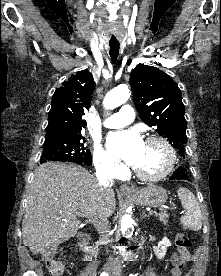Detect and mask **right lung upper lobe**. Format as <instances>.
<instances>
[{"label":"right lung upper lobe","mask_w":221,"mask_h":276,"mask_svg":"<svg viewBox=\"0 0 221 276\" xmlns=\"http://www.w3.org/2000/svg\"><path fill=\"white\" fill-rule=\"evenodd\" d=\"M94 88L93 76L87 69L64 81L53 94L46 135L81 132L86 126L82 116L89 109Z\"/></svg>","instance_id":"cb5924a9"}]
</instances>
